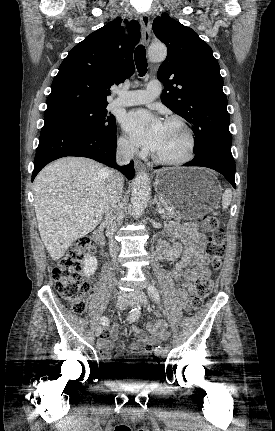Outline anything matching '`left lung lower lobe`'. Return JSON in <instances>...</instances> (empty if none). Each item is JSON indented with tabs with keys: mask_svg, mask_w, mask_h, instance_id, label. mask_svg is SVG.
<instances>
[{
	"mask_svg": "<svg viewBox=\"0 0 275 431\" xmlns=\"http://www.w3.org/2000/svg\"><path fill=\"white\" fill-rule=\"evenodd\" d=\"M184 166L208 167L221 173L235 188V161L230 147H215L206 149Z\"/></svg>",
	"mask_w": 275,
	"mask_h": 431,
	"instance_id": "obj_1",
	"label": "left lung lower lobe"
}]
</instances>
